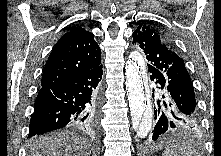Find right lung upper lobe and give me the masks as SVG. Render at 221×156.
Wrapping results in <instances>:
<instances>
[{"label": "right lung upper lobe", "instance_id": "right-lung-upper-lobe-1", "mask_svg": "<svg viewBox=\"0 0 221 156\" xmlns=\"http://www.w3.org/2000/svg\"><path fill=\"white\" fill-rule=\"evenodd\" d=\"M101 64V50L94 35L71 27L54 46L41 80V87L55 85Z\"/></svg>", "mask_w": 221, "mask_h": 156}]
</instances>
